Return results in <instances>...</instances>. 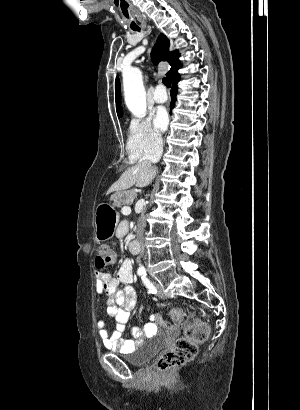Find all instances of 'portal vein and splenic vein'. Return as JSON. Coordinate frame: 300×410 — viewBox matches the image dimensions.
Segmentation results:
<instances>
[{
  "mask_svg": "<svg viewBox=\"0 0 300 410\" xmlns=\"http://www.w3.org/2000/svg\"><path fill=\"white\" fill-rule=\"evenodd\" d=\"M122 212H123V213H128V214H130L131 208H130L129 206H124V207L122 208Z\"/></svg>",
  "mask_w": 300,
  "mask_h": 410,
  "instance_id": "18ae733b",
  "label": "portal vein and splenic vein"
}]
</instances>
